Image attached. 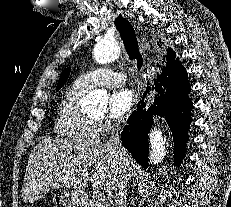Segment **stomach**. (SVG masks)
<instances>
[{"instance_id": "stomach-1", "label": "stomach", "mask_w": 231, "mask_h": 207, "mask_svg": "<svg viewBox=\"0 0 231 207\" xmlns=\"http://www.w3.org/2000/svg\"><path fill=\"white\" fill-rule=\"evenodd\" d=\"M62 207H79L81 197L78 191L63 192L59 200Z\"/></svg>"}]
</instances>
